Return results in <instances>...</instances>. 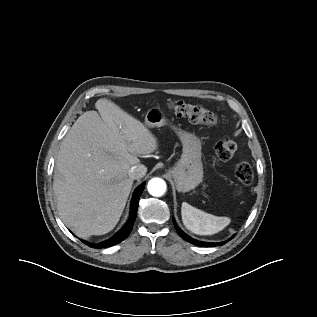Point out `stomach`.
Listing matches in <instances>:
<instances>
[{
	"instance_id": "0dacf381",
	"label": "stomach",
	"mask_w": 317,
	"mask_h": 317,
	"mask_svg": "<svg viewBox=\"0 0 317 317\" xmlns=\"http://www.w3.org/2000/svg\"><path fill=\"white\" fill-rule=\"evenodd\" d=\"M167 119L160 107L149 109L145 116V124L149 128L165 125ZM183 145L182 155L178 162L169 169L178 192H189L195 189L203 179L201 160V141L193 133L175 129Z\"/></svg>"
}]
</instances>
